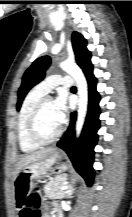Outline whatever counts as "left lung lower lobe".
<instances>
[{
  "label": "left lung lower lobe",
  "mask_w": 132,
  "mask_h": 217,
  "mask_svg": "<svg viewBox=\"0 0 132 217\" xmlns=\"http://www.w3.org/2000/svg\"><path fill=\"white\" fill-rule=\"evenodd\" d=\"M89 86V105L85 125L78 141L75 140L74 124L76 112L71 113V124L67 132L58 142L57 146L63 149L71 159L76 171L91 186L94 170L92 167L94 157V147L97 143L99 129V107L100 96L96 91L97 80L92 70L85 74Z\"/></svg>",
  "instance_id": "0a47b994"
}]
</instances>
